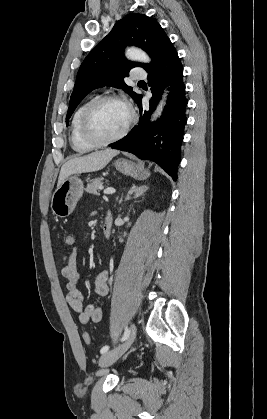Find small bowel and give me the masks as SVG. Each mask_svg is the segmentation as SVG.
<instances>
[{
  "label": "small bowel",
  "instance_id": "1",
  "mask_svg": "<svg viewBox=\"0 0 267 419\" xmlns=\"http://www.w3.org/2000/svg\"><path fill=\"white\" fill-rule=\"evenodd\" d=\"M60 272L66 279V303L79 314V322L81 324L100 322L103 318L102 309L94 305L84 306V297L78 286L80 273L78 269V251L76 245L68 248V251L62 257ZM109 278L110 273L107 270H103L97 275L95 279V291L99 296H106L108 294Z\"/></svg>",
  "mask_w": 267,
  "mask_h": 419
}]
</instances>
